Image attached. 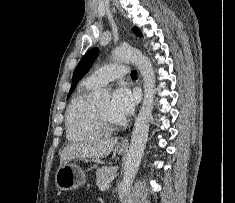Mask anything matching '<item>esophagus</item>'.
<instances>
[{
  "label": "esophagus",
  "instance_id": "1",
  "mask_svg": "<svg viewBox=\"0 0 235 203\" xmlns=\"http://www.w3.org/2000/svg\"><path fill=\"white\" fill-rule=\"evenodd\" d=\"M121 145H123V146L128 145V140H127V139L123 140V141L121 142Z\"/></svg>",
  "mask_w": 235,
  "mask_h": 203
}]
</instances>
